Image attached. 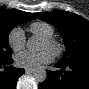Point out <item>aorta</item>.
I'll use <instances>...</instances> for the list:
<instances>
[{
  "label": "aorta",
  "instance_id": "obj_1",
  "mask_svg": "<svg viewBox=\"0 0 89 89\" xmlns=\"http://www.w3.org/2000/svg\"><path fill=\"white\" fill-rule=\"evenodd\" d=\"M26 46L29 51H36V50H38L40 43H39V40L37 39V37L32 36L28 39ZM32 76L36 82L40 83L46 79L47 73H46L45 69L40 67L33 71Z\"/></svg>",
  "mask_w": 89,
  "mask_h": 89
}]
</instances>
